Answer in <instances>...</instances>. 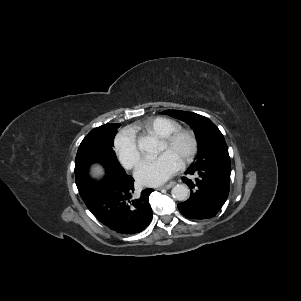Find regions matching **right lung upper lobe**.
I'll list each match as a JSON object with an SVG mask.
<instances>
[{
  "instance_id": "right-lung-upper-lobe-1",
  "label": "right lung upper lobe",
  "mask_w": 301,
  "mask_h": 301,
  "mask_svg": "<svg viewBox=\"0 0 301 301\" xmlns=\"http://www.w3.org/2000/svg\"><path fill=\"white\" fill-rule=\"evenodd\" d=\"M114 123H109V124H105L104 127H110L112 126Z\"/></svg>"
}]
</instances>
